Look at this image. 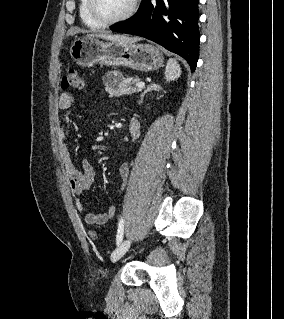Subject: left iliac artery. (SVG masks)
<instances>
[{"label": "left iliac artery", "instance_id": "1", "mask_svg": "<svg viewBox=\"0 0 284 319\" xmlns=\"http://www.w3.org/2000/svg\"><path fill=\"white\" fill-rule=\"evenodd\" d=\"M123 232H124V219L121 218L118 223V230H117V237H116L117 245H119L122 242Z\"/></svg>", "mask_w": 284, "mask_h": 319}]
</instances>
